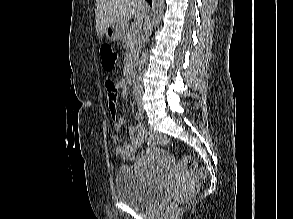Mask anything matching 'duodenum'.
I'll list each match as a JSON object with an SVG mask.
<instances>
[{"label":"duodenum","mask_w":293,"mask_h":219,"mask_svg":"<svg viewBox=\"0 0 293 219\" xmlns=\"http://www.w3.org/2000/svg\"><path fill=\"white\" fill-rule=\"evenodd\" d=\"M127 79L130 84L134 85L135 84V75H134V70L133 67H129L127 71Z\"/></svg>","instance_id":"obj_1"}]
</instances>
